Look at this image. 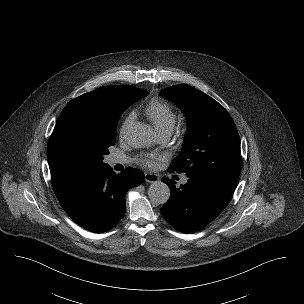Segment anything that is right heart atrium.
I'll return each mask as SVG.
<instances>
[{
  "label": "right heart atrium",
  "instance_id": "d8ad5b80",
  "mask_svg": "<svg viewBox=\"0 0 304 304\" xmlns=\"http://www.w3.org/2000/svg\"><path fill=\"white\" fill-rule=\"evenodd\" d=\"M133 117H134L133 113H130L129 115H127V117L125 118V120L121 126L120 134L124 133L127 126L129 125V123L133 120Z\"/></svg>",
  "mask_w": 304,
  "mask_h": 304
}]
</instances>
